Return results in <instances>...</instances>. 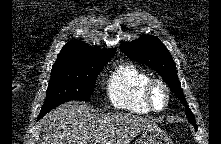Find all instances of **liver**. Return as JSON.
Instances as JSON below:
<instances>
[{
	"label": "liver",
	"mask_w": 221,
	"mask_h": 144,
	"mask_svg": "<svg viewBox=\"0 0 221 144\" xmlns=\"http://www.w3.org/2000/svg\"><path fill=\"white\" fill-rule=\"evenodd\" d=\"M40 124L42 144H130L140 132L157 127L154 120L132 113L94 114L77 101L55 108Z\"/></svg>",
	"instance_id": "6515ba94"
}]
</instances>
